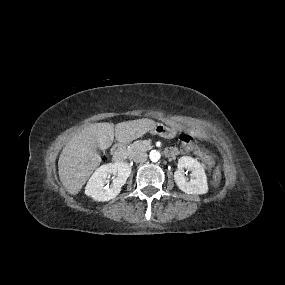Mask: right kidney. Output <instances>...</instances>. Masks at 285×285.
I'll use <instances>...</instances> for the list:
<instances>
[{"instance_id":"ca27d5eb","label":"right kidney","mask_w":285,"mask_h":285,"mask_svg":"<svg viewBox=\"0 0 285 285\" xmlns=\"http://www.w3.org/2000/svg\"><path fill=\"white\" fill-rule=\"evenodd\" d=\"M131 173V168L127 163H107L100 166L90 177L85 194L95 201H109L115 198L121 191V187L126 183ZM110 175L116 176L113 183L106 186L107 178Z\"/></svg>"}]
</instances>
